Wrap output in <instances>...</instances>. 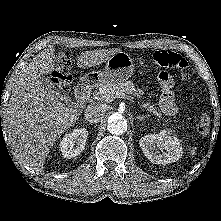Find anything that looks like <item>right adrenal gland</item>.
Returning <instances> with one entry per match:
<instances>
[{"mask_svg":"<svg viewBox=\"0 0 221 221\" xmlns=\"http://www.w3.org/2000/svg\"><path fill=\"white\" fill-rule=\"evenodd\" d=\"M83 122H84V123H88V121H86V120H83Z\"/></svg>","mask_w":221,"mask_h":221,"instance_id":"obj_1","label":"right adrenal gland"}]
</instances>
